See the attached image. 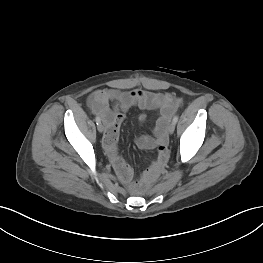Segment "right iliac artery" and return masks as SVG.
Wrapping results in <instances>:
<instances>
[{
  "label": "right iliac artery",
  "instance_id": "82829eb1",
  "mask_svg": "<svg viewBox=\"0 0 263 263\" xmlns=\"http://www.w3.org/2000/svg\"><path fill=\"white\" fill-rule=\"evenodd\" d=\"M95 121H96L97 125H98L99 123H101V119H100L99 117H96V118H95Z\"/></svg>",
  "mask_w": 263,
  "mask_h": 263
}]
</instances>
